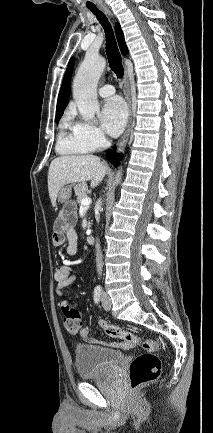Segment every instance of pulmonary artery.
Segmentation results:
<instances>
[{"label":"pulmonary artery","mask_w":213,"mask_h":433,"mask_svg":"<svg viewBox=\"0 0 213 433\" xmlns=\"http://www.w3.org/2000/svg\"><path fill=\"white\" fill-rule=\"evenodd\" d=\"M98 93L102 97H109L115 93V89L112 85H104L99 90Z\"/></svg>","instance_id":"pulmonary-artery-1"}]
</instances>
